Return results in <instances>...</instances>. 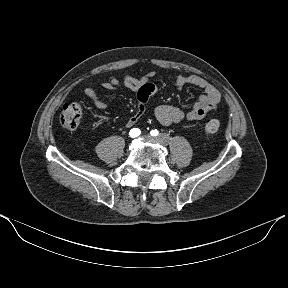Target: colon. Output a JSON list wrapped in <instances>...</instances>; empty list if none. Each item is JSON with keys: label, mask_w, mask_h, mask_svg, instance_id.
<instances>
[{"label": "colon", "mask_w": 288, "mask_h": 288, "mask_svg": "<svg viewBox=\"0 0 288 288\" xmlns=\"http://www.w3.org/2000/svg\"><path fill=\"white\" fill-rule=\"evenodd\" d=\"M82 118L83 107L79 102L65 104L59 117L61 125L68 130L76 129L79 126ZM219 127L220 123L217 119H210L205 124L204 130L207 135H212L218 131Z\"/></svg>", "instance_id": "5ec220e1"}]
</instances>
